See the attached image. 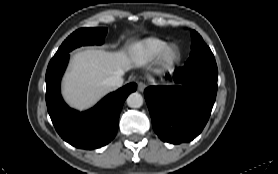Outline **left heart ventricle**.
Masks as SVG:
<instances>
[{
	"label": "left heart ventricle",
	"instance_id": "left-heart-ventricle-1",
	"mask_svg": "<svg viewBox=\"0 0 278 174\" xmlns=\"http://www.w3.org/2000/svg\"><path fill=\"white\" fill-rule=\"evenodd\" d=\"M174 55H175V51L172 50V51L169 52V57L170 58L173 57Z\"/></svg>",
	"mask_w": 278,
	"mask_h": 174
}]
</instances>
